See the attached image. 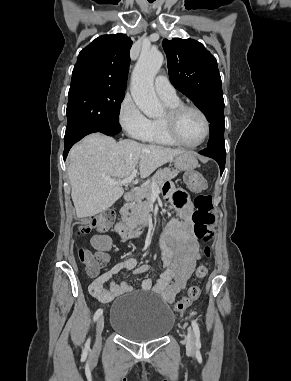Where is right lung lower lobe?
Returning <instances> with one entry per match:
<instances>
[{
  "label": "right lung lower lobe",
  "mask_w": 291,
  "mask_h": 381,
  "mask_svg": "<svg viewBox=\"0 0 291 381\" xmlns=\"http://www.w3.org/2000/svg\"><path fill=\"white\" fill-rule=\"evenodd\" d=\"M121 131V127L120 125L118 126H107V127H102V128H98V129H95L93 131H90L88 133H86L85 135L81 136L79 138L82 139L84 136L90 134V133H94V132H101L103 134H106V135H109V136H112V135H115V134H118L119 132ZM78 140V141H79ZM77 141H72V142H68V141H64V153H63V159L65 160L66 157H67V154L70 150V148L76 143Z\"/></svg>",
  "instance_id": "obj_1"
}]
</instances>
